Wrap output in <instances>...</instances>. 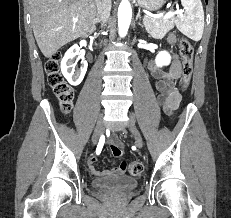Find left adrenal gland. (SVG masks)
Returning <instances> with one entry per match:
<instances>
[{
  "label": "left adrenal gland",
  "instance_id": "1",
  "mask_svg": "<svg viewBox=\"0 0 231 218\" xmlns=\"http://www.w3.org/2000/svg\"><path fill=\"white\" fill-rule=\"evenodd\" d=\"M138 19H141L140 9L138 10V13H137V16H136V21H137ZM139 25H141V24L139 23Z\"/></svg>",
  "mask_w": 231,
  "mask_h": 218
}]
</instances>
